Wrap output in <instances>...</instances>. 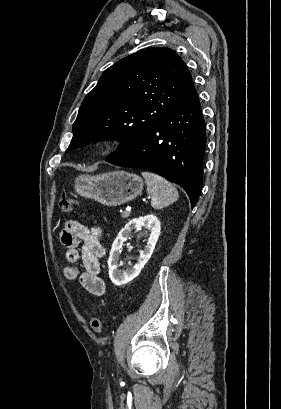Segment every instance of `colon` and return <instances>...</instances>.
<instances>
[{
    "instance_id": "1",
    "label": "colon",
    "mask_w": 281,
    "mask_h": 409,
    "mask_svg": "<svg viewBox=\"0 0 281 409\" xmlns=\"http://www.w3.org/2000/svg\"><path fill=\"white\" fill-rule=\"evenodd\" d=\"M59 206L64 213L70 214L74 212L75 202L66 194H62ZM103 327V319L100 316H94L91 320V329L98 333Z\"/></svg>"
}]
</instances>
